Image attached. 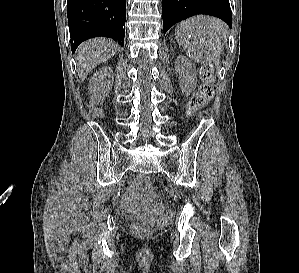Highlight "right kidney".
I'll list each match as a JSON object with an SVG mask.
<instances>
[{
    "label": "right kidney",
    "instance_id": "obj_1",
    "mask_svg": "<svg viewBox=\"0 0 299 273\" xmlns=\"http://www.w3.org/2000/svg\"><path fill=\"white\" fill-rule=\"evenodd\" d=\"M110 67H104L96 71L90 79L89 88L92 97L105 98L111 89V83H104L106 77L111 75Z\"/></svg>",
    "mask_w": 299,
    "mask_h": 273
}]
</instances>
